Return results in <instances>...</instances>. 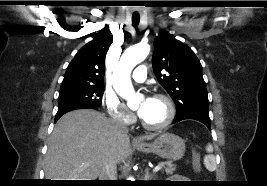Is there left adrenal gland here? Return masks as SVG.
Returning <instances> with one entry per match:
<instances>
[{"label":"left adrenal gland","mask_w":267,"mask_h":186,"mask_svg":"<svg viewBox=\"0 0 267 186\" xmlns=\"http://www.w3.org/2000/svg\"><path fill=\"white\" fill-rule=\"evenodd\" d=\"M153 178H156L155 174H150L149 169H145L144 181H151Z\"/></svg>","instance_id":"1"}]
</instances>
